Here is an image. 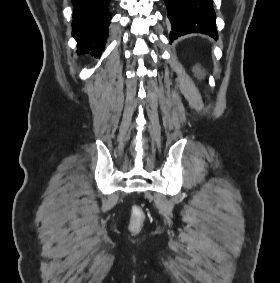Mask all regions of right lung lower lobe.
Here are the masks:
<instances>
[{"mask_svg": "<svg viewBox=\"0 0 280 283\" xmlns=\"http://www.w3.org/2000/svg\"><path fill=\"white\" fill-rule=\"evenodd\" d=\"M111 0H72L74 5L72 36L78 53L91 51L96 55L104 50L109 35Z\"/></svg>", "mask_w": 280, "mask_h": 283, "instance_id": "98d812e1", "label": "right lung lower lobe"}]
</instances>
